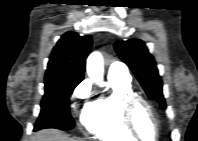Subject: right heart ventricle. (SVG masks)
Returning a JSON list of instances; mask_svg holds the SVG:
<instances>
[{"mask_svg":"<svg viewBox=\"0 0 198 141\" xmlns=\"http://www.w3.org/2000/svg\"><path fill=\"white\" fill-rule=\"evenodd\" d=\"M112 93L92 102L82 116V124L94 137L104 141H134L124 125L120 100L132 94L130 82L109 80Z\"/></svg>","mask_w":198,"mask_h":141,"instance_id":"right-heart-ventricle-1","label":"right heart ventricle"}]
</instances>
